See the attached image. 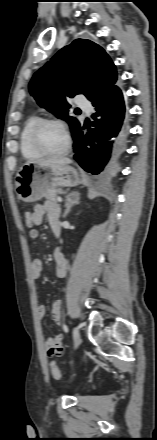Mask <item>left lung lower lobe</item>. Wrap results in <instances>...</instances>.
Returning a JSON list of instances; mask_svg holds the SVG:
<instances>
[{"instance_id": "left-lung-lower-lobe-1", "label": "left lung lower lobe", "mask_w": 157, "mask_h": 440, "mask_svg": "<svg viewBox=\"0 0 157 440\" xmlns=\"http://www.w3.org/2000/svg\"><path fill=\"white\" fill-rule=\"evenodd\" d=\"M94 121L79 125L72 133L74 159L93 175L103 171L112 156L114 144L121 152L128 135V115L124 96L118 86L112 87L92 102Z\"/></svg>"}]
</instances>
